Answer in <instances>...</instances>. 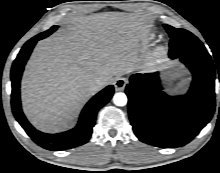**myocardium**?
I'll list each match as a JSON object with an SVG mask.
<instances>
[{
    "label": "myocardium",
    "instance_id": "f54148a6",
    "mask_svg": "<svg viewBox=\"0 0 220 173\" xmlns=\"http://www.w3.org/2000/svg\"><path fill=\"white\" fill-rule=\"evenodd\" d=\"M166 51L167 49L163 45L156 47L147 55V62L152 65L159 63L166 55Z\"/></svg>",
    "mask_w": 220,
    "mask_h": 173
}]
</instances>
